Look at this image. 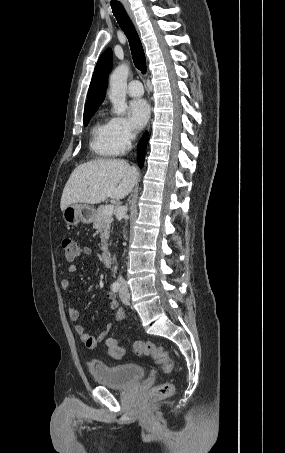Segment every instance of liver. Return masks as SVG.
I'll return each instance as SVG.
<instances>
[{
	"instance_id": "liver-1",
	"label": "liver",
	"mask_w": 285,
	"mask_h": 453,
	"mask_svg": "<svg viewBox=\"0 0 285 453\" xmlns=\"http://www.w3.org/2000/svg\"><path fill=\"white\" fill-rule=\"evenodd\" d=\"M137 178V168L122 159H98L81 164L63 189L61 210L77 203L98 204L109 197L120 200L132 191Z\"/></svg>"
}]
</instances>
